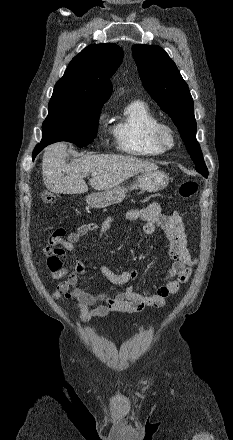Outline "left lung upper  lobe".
Wrapping results in <instances>:
<instances>
[{"label":"left lung upper lobe","mask_w":233,"mask_h":440,"mask_svg":"<svg viewBox=\"0 0 233 440\" xmlns=\"http://www.w3.org/2000/svg\"><path fill=\"white\" fill-rule=\"evenodd\" d=\"M132 55L144 88L177 126L196 170L206 167L196 140L193 99L175 63L159 46L135 44Z\"/></svg>","instance_id":"1"}]
</instances>
